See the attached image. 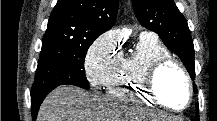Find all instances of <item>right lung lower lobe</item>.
Listing matches in <instances>:
<instances>
[{
    "label": "right lung lower lobe",
    "mask_w": 217,
    "mask_h": 121,
    "mask_svg": "<svg viewBox=\"0 0 217 121\" xmlns=\"http://www.w3.org/2000/svg\"><path fill=\"white\" fill-rule=\"evenodd\" d=\"M57 86L59 85L49 87L41 93L31 95V112H32L33 121L36 120L39 107L41 103L43 102L44 98L48 95L49 92H51Z\"/></svg>",
    "instance_id": "right-lung-lower-lobe-1"
}]
</instances>
